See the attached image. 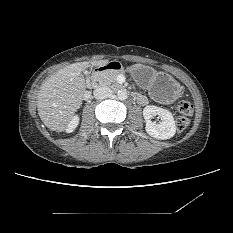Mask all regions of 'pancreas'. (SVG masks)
Instances as JSON below:
<instances>
[{
	"label": "pancreas",
	"mask_w": 233,
	"mask_h": 233,
	"mask_svg": "<svg viewBox=\"0 0 233 233\" xmlns=\"http://www.w3.org/2000/svg\"><path fill=\"white\" fill-rule=\"evenodd\" d=\"M118 72L104 71L99 74V81L104 85L113 84L114 87H120L121 85L117 81Z\"/></svg>",
	"instance_id": "1"
}]
</instances>
